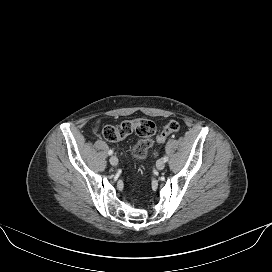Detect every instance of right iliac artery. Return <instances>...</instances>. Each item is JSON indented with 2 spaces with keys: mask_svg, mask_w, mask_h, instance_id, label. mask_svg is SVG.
<instances>
[{
  "mask_svg": "<svg viewBox=\"0 0 272 272\" xmlns=\"http://www.w3.org/2000/svg\"><path fill=\"white\" fill-rule=\"evenodd\" d=\"M108 154H109V155H112V154H113V151H112V150H109V151H108Z\"/></svg>",
  "mask_w": 272,
  "mask_h": 272,
  "instance_id": "obj_1",
  "label": "right iliac artery"
}]
</instances>
